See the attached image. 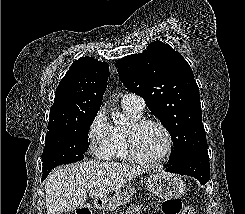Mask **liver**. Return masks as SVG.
<instances>
[{
	"label": "liver",
	"instance_id": "6515ba94",
	"mask_svg": "<svg viewBox=\"0 0 245 214\" xmlns=\"http://www.w3.org/2000/svg\"><path fill=\"white\" fill-rule=\"evenodd\" d=\"M142 173L139 167L99 161L58 167L45 183L47 214L76 210L85 205L87 190L91 198H102Z\"/></svg>",
	"mask_w": 245,
	"mask_h": 214
}]
</instances>
